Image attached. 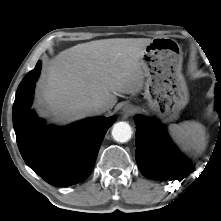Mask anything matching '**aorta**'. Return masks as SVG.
<instances>
[{"label": "aorta", "instance_id": "obj_1", "mask_svg": "<svg viewBox=\"0 0 221 221\" xmlns=\"http://www.w3.org/2000/svg\"><path fill=\"white\" fill-rule=\"evenodd\" d=\"M132 135L131 126L127 122H117L112 128L113 139L120 143L130 140Z\"/></svg>", "mask_w": 221, "mask_h": 221}]
</instances>
